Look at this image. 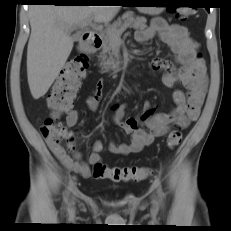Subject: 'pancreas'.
I'll use <instances>...</instances> for the list:
<instances>
[{"label": "pancreas", "instance_id": "obj_1", "mask_svg": "<svg viewBox=\"0 0 231 231\" xmlns=\"http://www.w3.org/2000/svg\"><path fill=\"white\" fill-rule=\"evenodd\" d=\"M146 22L147 20L145 17H135L132 11H128L124 13L121 18H118V20L115 21L112 25H109L108 27H106L105 30H103V49L100 54V66L103 69L116 67L115 59L111 52L115 42L112 34L118 31L126 23H130L131 27H133L134 29L143 30L147 27Z\"/></svg>", "mask_w": 231, "mask_h": 231}]
</instances>
